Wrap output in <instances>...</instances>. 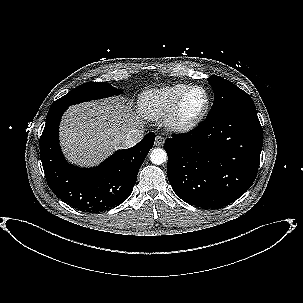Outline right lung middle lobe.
Here are the masks:
<instances>
[{
  "label": "right lung middle lobe",
  "instance_id": "obj_1",
  "mask_svg": "<svg viewBox=\"0 0 303 303\" xmlns=\"http://www.w3.org/2000/svg\"><path fill=\"white\" fill-rule=\"evenodd\" d=\"M121 90L112 87L107 82H87L84 83L65 96L56 100L51 107H68L84 101H90L121 94Z\"/></svg>",
  "mask_w": 303,
  "mask_h": 303
}]
</instances>
